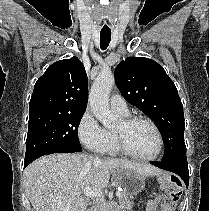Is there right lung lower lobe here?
Segmentation results:
<instances>
[{"label": "right lung lower lobe", "instance_id": "right-lung-lower-lobe-1", "mask_svg": "<svg viewBox=\"0 0 209 211\" xmlns=\"http://www.w3.org/2000/svg\"><path fill=\"white\" fill-rule=\"evenodd\" d=\"M62 152H65V153H74V152H76V151H73V150H57V151L51 152V153H49V154H53V153H62ZM28 164H30V163H28ZM28 164H27V163H26V164L24 163V167H26Z\"/></svg>", "mask_w": 209, "mask_h": 211}]
</instances>
